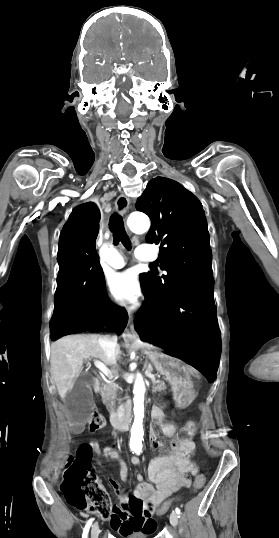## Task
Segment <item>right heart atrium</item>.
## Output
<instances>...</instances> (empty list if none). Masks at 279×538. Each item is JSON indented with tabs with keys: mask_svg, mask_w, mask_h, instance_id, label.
<instances>
[{
	"mask_svg": "<svg viewBox=\"0 0 279 538\" xmlns=\"http://www.w3.org/2000/svg\"><path fill=\"white\" fill-rule=\"evenodd\" d=\"M135 234H142L144 232L143 228L134 229ZM102 309L106 316H113L116 313V306L114 301L109 296H105L102 301Z\"/></svg>",
	"mask_w": 279,
	"mask_h": 538,
	"instance_id": "1",
	"label": "right heart atrium"
}]
</instances>
